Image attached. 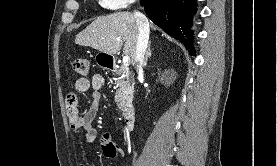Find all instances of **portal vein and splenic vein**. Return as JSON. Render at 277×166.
<instances>
[{"label":"portal vein and splenic vein","instance_id":"obj_1","mask_svg":"<svg viewBox=\"0 0 277 166\" xmlns=\"http://www.w3.org/2000/svg\"><path fill=\"white\" fill-rule=\"evenodd\" d=\"M118 41H120V39H117ZM123 64H124V66H129V64H130V57L129 56H124L123 57Z\"/></svg>","mask_w":277,"mask_h":166}]
</instances>
